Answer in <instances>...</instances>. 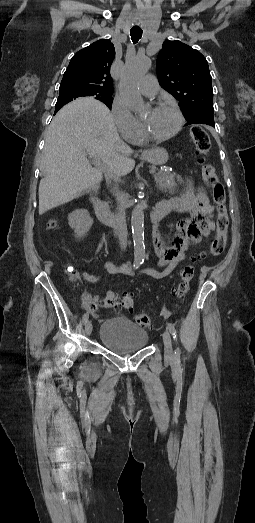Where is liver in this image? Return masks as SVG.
I'll use <instances>...</instances> for the list:
<instances>
[{
  "label": "liver",
  "instance_id": "6515ba94",
  "mask_svg": "<svg viewBox=\"0 0 255 523\" xmlns=\"http://www.w3.org/2000/svg\"><path fill=\"white\" fill-rule=\"evenodd\" d=\"M85 152L100 158L110 174L126 176L135 162L131 148L120 140L110 110L94 98H79L64 106L46 130L39 184V216L79 198L100 182L103 174L91 168Z\"/></svg>",
  "mask_w": 255,
  "mask_h": 523
}]
</instances>
